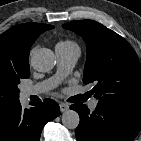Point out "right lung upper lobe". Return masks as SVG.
I'll return each mask as SVG.
<instances>
[{
    "label": "right lung upper lobe",
    "mask_w": 141,
    "mask_h": 141,
    "mask_svg": "<svg viewBox=\"0 0 141 141\" xmlns=\"http://www.w3.org/2000/svg\"><path fill=\"white\" fill-rule=\"evenodd\" d=\"M53 28L54 26L48 24L23 23L1 34L0 68L29 69L28 59L31 45L40 34ZM5 107H0V109Z\"/></svg>",
    "instance_id": "obj_1"
}]
</instances>
